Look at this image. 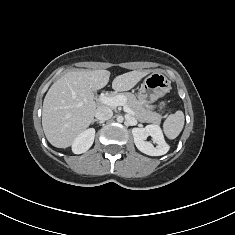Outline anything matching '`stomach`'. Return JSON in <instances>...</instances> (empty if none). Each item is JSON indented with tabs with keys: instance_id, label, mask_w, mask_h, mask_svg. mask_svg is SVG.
Instances as JSON below:
<instances>
[{
	"instance_id": "stomach-1",
	"label": "stomach",
	"mask_w": 235,
	"mask_h": 235,
	"mask_svg": "<svg viewBox=\"0 0 235 235\" xmlns=\"http://www.w3.org/2000/svg\"><path fill=\"white\" fill-rule=\"evenodd\" d=\"M170 84L171 82L165 74L161 72L152 73L141 84L137 95L139 101L153 109L154 106L151 104L169 92L171 88Z\"/></svg>"
}]
</instances>
